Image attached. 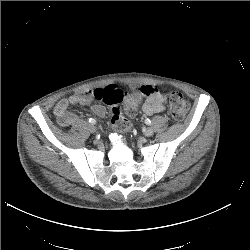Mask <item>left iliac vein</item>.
Returning <instances> with one entry per match:
<instances>
[{
    "label": "left iliac vein",
    "mask_w": 250,
    "mask_h": 250,
    "mask_svg": "<svg viewBox=\"0 0 250 250\" xmlns=\"http://www.w3.org/2000/svg\"><path fill=\"white\" fill-rule=\"evenodd\" d=\"M154 134V130L152 128H147L145 131H144V135L146 137H150Z\"/></svg>",
    "instance_id": "4c4485c4"
}]
</instances>
